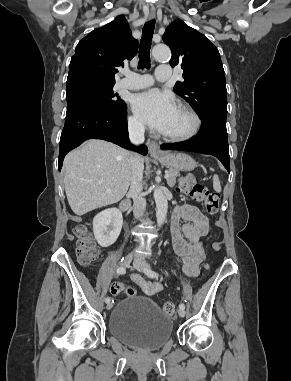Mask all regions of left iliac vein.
<instances>
[{
	"label": "left iliac vein",
	"mask_w": 291,
	"mask_h": 381,
	"mask_svg": "<svg viewBox=\"0 0 291 381\" xmlns=\"http://www.w3.org/2000/svg\"><path fill=\"white\" fill-rule=\"evenodd\" d=\"M133 266L135 267L136 270H138L140 272H144V273H145L146 269L150 268L146 262L141 261V260H135L133 263ZM178 314L180 317H184L185 316V310L182 308H179Z\"/></svg>",
	"instance_id": "obj_1"
}]
</instances>
